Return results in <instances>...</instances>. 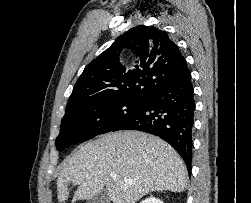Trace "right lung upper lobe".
Listing matches in <instances>:
<instances>
[{
    "instance_id": "right-lung-upper-lobe-1",
    "label": "right lung upper lobe",
    "mask_w": 251,
    "mask_h": 203,
    "mask_svg": "<svg viewBox=\"0 0 251 203\" xmlns=\"http://www.w3.org/2000/svg\"><path fill=\"white\" fill-rule=\"evenodd\" d=\"M149 39L153 40V46ZM124 47L137 58L132 70L119 61L118 53ZM188 70L178 46L165 31L139 25L128 30L85 67L67 106L104 99L145 101L151 93L180 79Z\"/></svg>"
}]
</instances>
